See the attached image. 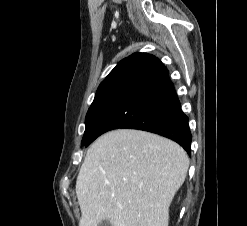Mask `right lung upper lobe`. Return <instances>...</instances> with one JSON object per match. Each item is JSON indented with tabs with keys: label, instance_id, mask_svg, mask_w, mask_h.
Returning <instances> with one entry per match:
<instances>
[{
	"label": "right lung upper lobe",
	"instance_id": "1",
	"mask_svg": "<svg viewBox=\"0 0 247 226\" xmlns=\"http://www.w3.org/2000/svg\"><path fill=\"white\" fill-rule=\"evenodd\" d=\"M126 60H127V58L123 59L121 62L118 63V65L116 67H118V66H122L123 67L125 62H126Z\"/></svg>",
	"mask_w": 247,
	"mask_h": 226
}]
</instances>
